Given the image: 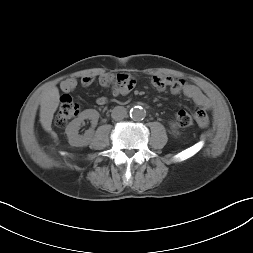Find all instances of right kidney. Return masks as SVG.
Wrapping results in <instances>:
<instances>
[{"label":"right kidney","instance_id":"obj_1","mask_svg":"<svg viewBox=\"0 0 253 253\" xmlns=\"http://www.w3.org/2000/svg\"><path fill=\"white\" fill-rule=\"evenodd\" d=\"M85 119H90L92 126H96L99 113L95 109H86L80 113V115L72 120L67 126L65 132L68 137V142L71 146L83 147L87 146L93 137V130H87L84 136L78 134L81 124Z\"/></svg>","mask_w":253,"mask_h":253}]
</instances>
